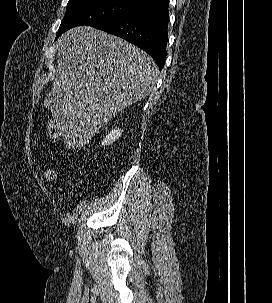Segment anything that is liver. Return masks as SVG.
Segmentation results:
<instances>
[{
    "mask_svg": "<svg viewBox=\"0 0 272 303\" xmlns=\"http://www.w3.org/2000/svg\"><path fill=\"white\" fill-rule=\"evenodd\" d=\"M158 75L154 60L131 43L90 26L75 27L58 39L56 78L44 106L66 146L76 149L149 95Z\"/></svg>",
    "mask_w": 272,
    "mask_h": 303,
    "instance_id": "1",
    "label": "liver"
}]
</instances>
